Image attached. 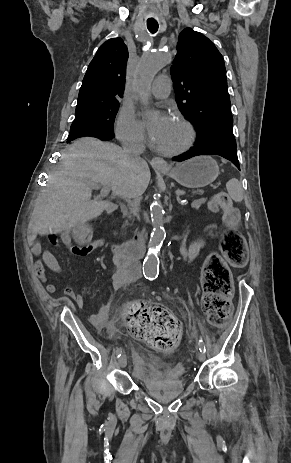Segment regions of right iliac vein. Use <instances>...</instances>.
Segmentation results:
<instances>
[{"instance_id":"1","label":"right iliac vein","mask_w":291,"mask_h":463,"mask_svg":"<svg viewBox=\"0 0 291 463\" xmlns=\"http://www.w3.org/2000/svg\"><path fill=\"white\" fill-rule=\"evenodd\" d=\"M119 366L125 368L127 365V357L125 354H122L118 359Z\"/></svg>"}]
</instances>
